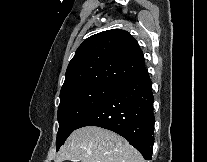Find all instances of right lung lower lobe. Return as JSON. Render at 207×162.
<instances>
[{"label": "right lung lower lobe", "instance_id": "right-lung-lower-lobe-1", "mask_svg": "<svg viewBox=\"0 0 207 162\" xmlns=\"http://www.w3.org/2000/svg\"><path fill=\"white\" fill-rule=\"evenodd\" d=\"M98 126L123 136L145 158L152 159L154 115L152 82L144 68L115 85L80 122L78 128Z\"/></svg>", "mask_w": 207, "mask_h": 162}]
</instances>
